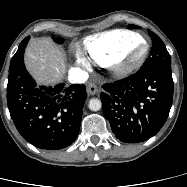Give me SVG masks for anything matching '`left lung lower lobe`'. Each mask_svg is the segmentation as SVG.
Wrapping results in <instances>:
<instances>
[{
    "label": "left lung lower lobe",
    "mask_w": 187,
    "mask_h": 187,
    "mask_svg": "<svg viewBox=\"0 0 187 187\" xmlns=\"http://www.w3.org/2000/svg\"><path fill=\"white\" fill-rule=\"evenodd\" d=\"M173 88L171 67L140 69L105 84L101 92L103 113L115 136L126 143L154 136L168 118Z\"/></svg>",
    "instance_id": "1"
}]
</instances>
